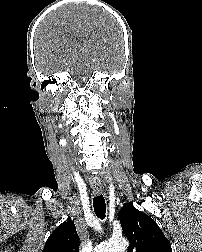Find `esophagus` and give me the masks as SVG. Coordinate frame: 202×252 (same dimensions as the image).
Returning <instances> with one entry per match:
<instances>
[{
	"label": "esophagus",
	"mask_w": 202,
	"mask_h": 252,
	"mask_svg": "<svg viewBox=\"0 0 202 252\" xmlns=\"http://www.w3.org/2000/svg\"><path fill=\"white\" fill-rule=\"evenodd\" d=\"M101 192H102L101 187H94V188H93V193H94L95 195H100Z\"/></svg>",
	"instance_id": "esophagus-1"
}]
</instances>
